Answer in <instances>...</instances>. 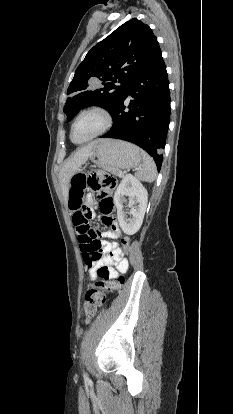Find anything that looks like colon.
<instances>
[{
  "instance_id": "5ec220e1",
  "label": "colon",
  "mask_w": 233,
  "mask_h": 414,
  "mask_svg": "<svg viewBox=\"0 0 233 414\" xmlns=\"http://www.w3.org/2000/svg\"><path fill=\"white\" fill-rule=\"evenodd\" d=\"M88 185L100 195V208L103 214V222L106 223L113 209V201L110 194L116 186V179L110 174L98 170L90 175ZM90 217L91 212L88 208L77 211L73 216V222L79 233L83 259L88 267L104 255L103 242L99 239L98 231L90 228L88 224ZM129 244L130 238L128 236L122 237L121 248L115 255L118 258H126ZM96 277V282L88 287L85 295L84 317L86 322L91 321L95 317L98 309L104 305L107 296L112 290L124 283L123 275L118 277V282H112L109 278L108 270L104 267L97 270Z\"/></svg>"
}]
</instances>
